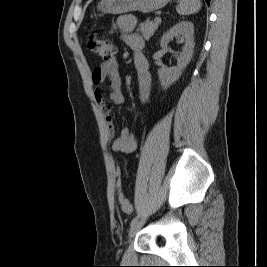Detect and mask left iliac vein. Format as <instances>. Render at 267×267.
Masks as SVG:
<instances>
[{
    "instance_id": "4c4485c4",
    "label": "left iliac vein",
    "mask_w": 267,
    "mask_h": 267,
    "mask_svg": "<svg viewBox=\"0 0 267 267\" xmlns=\"http://www.w3.org/2000/svg\"><path fill=\"white\" fill-rule=\"evenodd\" d=\"M143 221L136 222L133 224L129 230V238H133L136 233L141 229Z\"/></svg>"
}]
</instances>
